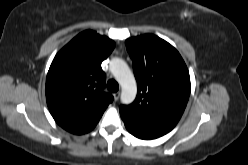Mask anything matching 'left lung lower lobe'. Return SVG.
I'll return each mask as SVG.
<instances>
[{
  "instance_id": "obj_1",
  "label": "left lung lower lobe",
  "mask_w": 248,
  "mask_h": 165,
  "mask_svg": "<svg viewBox=\"0 0 248 165\" xmlns=\"http://www.w3.org/2000/svg\"><path fill=\"white\" fill-rule=\"evenodd\" d=\"M120 115L122 120L124 121L126 129L137 138L146 140L155 139L168 133L167 131L156 128L154 126L146 125L135 121L121 112Z\"/></svg>"
}]
</instances>
